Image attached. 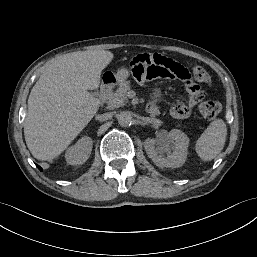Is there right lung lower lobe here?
I'll return each mask as SVG.
<instances>
[{
    "label": "right lung lower lobe",
    "instance_id": "right-lung-lower-lobe-1",
    "mask_svg": "<svg viewBox=\"0 0 257 257\" xmlns=\"http://www.w3.org/2000/svg\"><path fill=\"white\" fill-rule=\"evenodd\" d=\"M37 167L42 171V168L40 166L37 165Z\"/></svg>",
    "mask_w": 257,
    "mask_h": 257
}]
</instances>
